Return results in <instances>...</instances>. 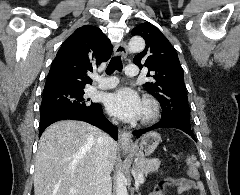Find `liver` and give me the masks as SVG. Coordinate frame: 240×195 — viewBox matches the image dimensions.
<instances>
[{"label": "liver", "instance_id": "6515ba94", "mask_svg": "<svg viewBox=\"0 0 240 195\" xmlns=\"http://www.w3.org/2000/svg\"><path fill=\"white\" fill-rule=\"evenodd\" d=\"M102 131L86 121H56L43 131L37 149L35 195H94L96 147ZM118 143L108 145L110 171L117 159ZM76 189V193H70Z\"/></svg>", "mask_w": 240, "mask_h": 195}]
</instances>
